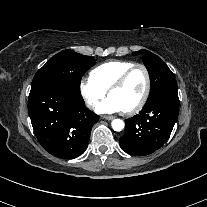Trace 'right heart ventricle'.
<instances>
[{"label":"right heart ventricle","instance_id":"obj_1","mask_svg":"<svg viewBox=\"0 0 207 207\" xmlns=\"http://www.w3.org/2000/svg\"><path fill=\"white\" fill-rule=\"evenodd\" d=\"M134 63L124 60H109L95 67L90 76L106 90Z\"/></svg>","mask_w":207,"mask_h":207}]
</instances>
